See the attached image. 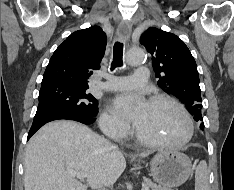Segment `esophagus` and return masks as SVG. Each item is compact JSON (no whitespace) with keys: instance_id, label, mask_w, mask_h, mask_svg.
<instances>
[{"instance_id":"34e87169","label":"esophagus","mask_w":234,"mask_h":190,"mask_svg":"<svg viewBox=\"0 0 234 190\" xmlns=\"http://www.w3.org/2000/svg\"><path fill=\"white\" fill-rule=\"evenodd\" d=\"M117 35L119 38L128 40L131 35V24L129 22H123L117 29Z\"/></svg>"}]
</instances>
